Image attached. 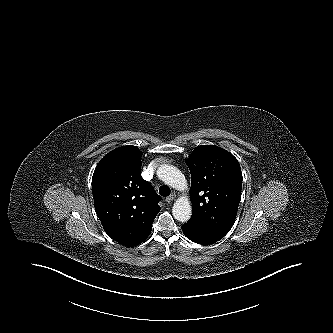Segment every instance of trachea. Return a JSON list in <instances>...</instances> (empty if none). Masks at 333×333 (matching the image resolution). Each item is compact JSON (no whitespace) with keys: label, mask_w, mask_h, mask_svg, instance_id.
I'll return each instance as SVG.
<instances>
[{"label":"trachea","mask_w":333,"mask_h":333,"mask_svg":"<svg viewBox=\"0 0 333 333\" xmlns=\"http://www.w3.org/2000/svg\"><path fill=\"white\" fill-rule=\"evenodd\" d=\"M170 192H171L170 188L166 185H163L159 188V193L163 197L169 196Z\"/></svg>","instance_id":"1"}]
</instances>
